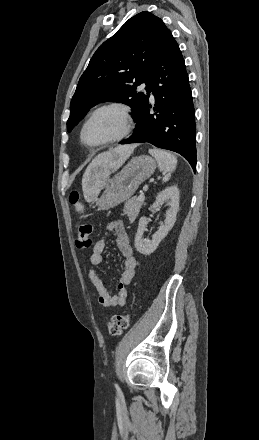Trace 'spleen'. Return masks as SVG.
I'll use <instances>...</instances> for the list:
<instances>
[{"instance_id": "3e777b00", "label": "spleen", "mask_w": 259, "mask_h": 440, "mask_svg": "<svg viewBox=\"0 0 259 440\" xmlns=\"http://www.w3.org/2000/svg\"><path fill=\"white\" fill-rule=\"evenodd\" d=\"M149 153L156 159L159 170L165 174L163 182L168 181L171 173L176 168L177 158L173 154L161 149H149Z\"/></svg>"}]
</instances>
